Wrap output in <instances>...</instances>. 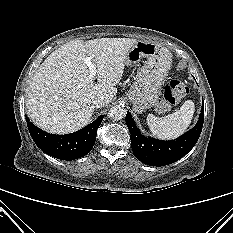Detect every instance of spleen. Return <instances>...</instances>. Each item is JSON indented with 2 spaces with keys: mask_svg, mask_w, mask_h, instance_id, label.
I'll return each instance as SVG.
<instances>
[{
  "mask_svg": "<svg viewBox=\"0 0 233 233\" xmlns=\"http://www.w3.org/2000/svg\"><path fill=\"white\" fill-rule=\"evenodd\" d=\"M195 105L192 100L183 103L179 110L165 117L147 116L151 133L160 139H174L183 134L191 123Z\"/></svg>",
  "mask_w": 233,
  "mask_h": 233,
  "instance_id": "3e777b00",
  "label": "spleen"
}]
</instances>
